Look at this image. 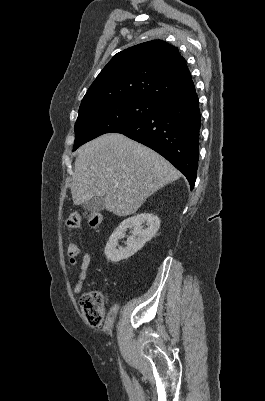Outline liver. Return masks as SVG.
<instances>
[{
	"label": "liver",
	"instance_id": "1",
	"mask_svg": "<svg viewBox=\"0 0 265 401\" xmlns=\"http://www.w3.org/2000/svg\"><path fill=\"white\" fill-rule=\"evenodd\" d=\"M180 174L148 146L124 134L108 132L78 148L70 184L73 205L105 196L109 213L135 215L148 196Z\"/></svg>",
	"mask_w": 265,
	"mask_h": 401
}]
</instances>
